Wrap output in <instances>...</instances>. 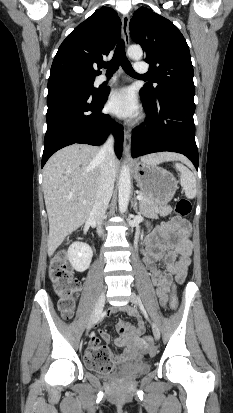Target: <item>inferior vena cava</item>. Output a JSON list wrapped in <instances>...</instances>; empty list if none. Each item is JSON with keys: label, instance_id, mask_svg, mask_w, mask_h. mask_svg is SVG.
Here are the masks:
<instances>
[{"label": "inferior vena cava", "instance_id": "1", "mask_svg": "<svg viewBox=\"0 0 233 413\" xmlns=\"http://www.w3.org/2000/svg\"><path fill=\"white\" fill-rule=\"evenodd\" d=\"M113 145L114 138L110 135L99 151V156L102 159L100 183L91 210V214L94 216L99 226V235L102 233V219L105 216L114 189L116 157Z\"/></svg>", "mask_w": 233, "mask_h": 413}]
</instances>
